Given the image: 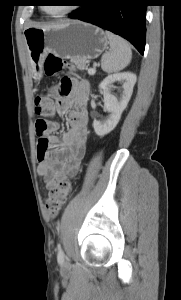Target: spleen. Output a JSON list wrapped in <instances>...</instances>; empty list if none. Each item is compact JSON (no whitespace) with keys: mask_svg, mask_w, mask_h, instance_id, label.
Instances as JSON below:
<instances>
[{"mask_svg":"<svg viewBox=\"0 0 181 300\" xmlns=\"http://www.w3.org/2000/svg\"><path fill=\"white\" fill-rule=\"evenodd\" d=\"M110 50L101 59V68L106 73H115L124 69L131 61L132 51L122 37L106 31Z\"/></svg>","mask_w":181,"mask_h":300,"instance_id":"obj_1","label":"spleen"}]
</instances>
